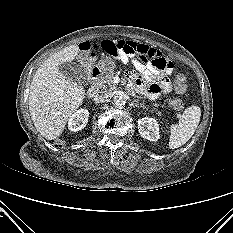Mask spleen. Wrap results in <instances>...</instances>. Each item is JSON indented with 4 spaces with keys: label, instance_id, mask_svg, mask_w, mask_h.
<instances>
[{
    "label": "spleen",
    "instance_id": "1",
    "mask_svg": "<svg viewBox=\"0 0 233 233\" xmlns=\"http://www.w3.org/2000/svg\"><path fill=\"white\" fill-rule=\"evenodd\" d=\"M200 117L201 109L197 105L189 106L184 110L179 123L172 124L170 127V149L181 147L193 136L199 125Z\"/></svg>",
    "mask_w": 233,
    "mask_h": 233
}]
</instances>
